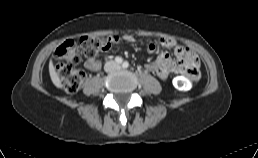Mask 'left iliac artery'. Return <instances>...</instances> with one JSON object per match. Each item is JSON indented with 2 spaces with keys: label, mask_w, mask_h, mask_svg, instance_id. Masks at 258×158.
<instances>
[{
  "label": "left iliac artery",
  "mask_w": 258,
  "mask_h": 158,
  "mask_svg": "<svg viewBox=\"0 0 258 158\" xmlns=\"http://www.w3.org/2000/svg\"><path fill=\"white\" fill-rule=\"evenodd\" d=\"M123 68H127L129 66V63L127 61H125L123 64H122Z\"/></svg>",
  "instance_id": "1"
}]
</instances>
